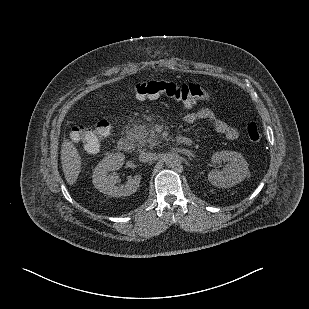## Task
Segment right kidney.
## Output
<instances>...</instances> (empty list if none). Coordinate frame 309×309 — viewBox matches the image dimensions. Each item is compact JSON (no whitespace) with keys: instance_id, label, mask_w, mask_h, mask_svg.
I'll use <instances>...</instances> for the list:
<instances>
[{"instance_id":"obj_1","label":"right kidney","mask_w":309,"mask_h":309,"mask_svg":"<svg viewBox=\"0 0 309 309\" xmlns=\"http://www.w3.org/2000/svg\"><path fill=\"white\" fill-rule=\"evenodd\" d=\"M125 160L123 153H114L104 158L94 169L93 184L100 192L112 197L129 196L135 193L141 182V175L129 177L125 184H120V178L115 173Z\"/></svg>"}]
</instances>
